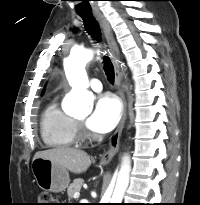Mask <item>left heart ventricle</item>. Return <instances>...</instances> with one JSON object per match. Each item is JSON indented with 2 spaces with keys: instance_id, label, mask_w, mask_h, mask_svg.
<instances>
[{
  "instance_id": "b2bd125f",
  "label": "left heart ventricle",
  "mask_w": 200,
  "mask_h": 205,
  "mask_svg": "<svg viewBox=\"0 0 200 205\" xmlns=\"http://www.w3.org/2000/svg\"><path fill=\"white\" fill-rule=\"evenodd\" d=\"M78 119H79V120H84L85 118H84V117H79Z\"/></svg>"
}]
</instances>
